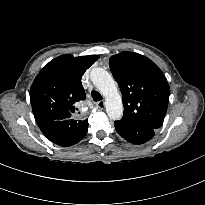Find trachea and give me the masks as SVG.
Wrapping results in <instances>:
<instances>
[{
    "label": "trachea",
    "mask_w": 205,
    "mask_h": 205,
    "mask_svg": "<svg viewBox=\"0 0 205 205\" xmlns=\"http://www.w3.org/2000/svg\"><path fill=\"white\" fill-rule=\"evenodd\" d=\"M91 96L95 102L100 101L102 99L101 94L95 90L91 92Z\"/></svg>",
    "instance_id": "3493384b"
}]
</instances>
